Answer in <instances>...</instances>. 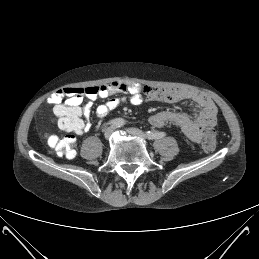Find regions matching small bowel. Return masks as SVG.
Returning <instances> with one entry per match:
<instances>
[{
  "label": "small bowel",
  "mask_w": 259,
  "mask_h": 259,
  "mask_svg": "<svg viewBox=\"0 0 259 259\" xmlns=\"http://www.w3.org/2000/svg\"><path fill=\"white\" fill-rule=\"evenodd\" d=\"M122 94L121 97H112ZM65 101L63 102V99ZM108 100L97 106L95 113L99 118L105 117L110 111L128 100L132 105L139 106L144 102L163 101L169 104L190 100L199 107L195 118L174 111H160L149 118V123L154 127H163L167 124L177 126L186 138L195 143L205 139L207 132L216 124L217 107L206 95L197 91L175 87L153 88L131 80H119L100 86L85 88H63L52 93L47 102L54 106V113L61 119L73 118L76 126L71 130L82 134L91 127L92 102L97 99ZM87 99V102H84ZM84 117V119L82 118ZM62 128V125L60 124ZM52 138L50 136L48 140Z\"/></svg>",
  "instance_id": "c3829d8e"
}]
</instances>
